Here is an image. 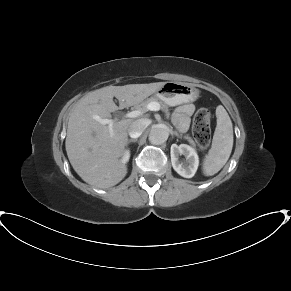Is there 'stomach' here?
Here are the masks:
<instances>
[{"label":"stomach","instance_id":"1","mask_svg":"<svg viewBox=\"0 0 291 291\" xmlns=\"http://www.w3.org/2000/svg\"><path fill=\"white\" fill-rule=\"evenodd\" d=\"M198 90L185 83L165 82L156 91V96L170 106L194 101L198 97Z\"/></svg>","mask_w":291,"mask_h":291}]
</instances>
